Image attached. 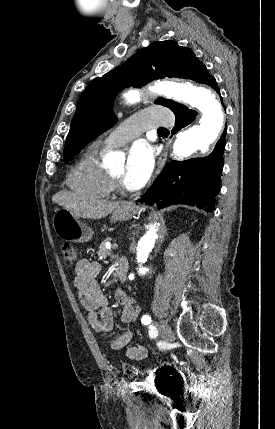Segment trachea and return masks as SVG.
Here are the masks:
<instances>
[{
    "instance_id": "obj_1",
    "label": "trachea",
    "mask_w": 275,
    "mask_h": 429,
    "mask_svg": "<svg viewBox=\"0 0 275 429\" xmlns=\"http://www.w3.org/2000/svg\"><path fill=\"white\" fill-rule=\"evenodd\" d=\"M158 131H167L166 128H159Z\"/></svg>"
}]
</instances>
